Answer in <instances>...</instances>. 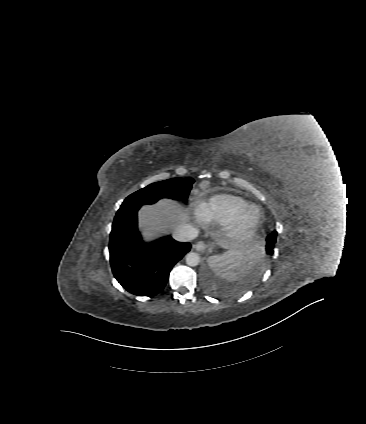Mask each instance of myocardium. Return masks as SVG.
I'll list each match as a JSON object with an SVG mask.
<instances>
[{"label": "myocardium", "instance_id": "f54148a6", "mask_svg": "<svg viewBox=\"0 0 366 424\" xmlns=\"http://www.w3.org/2000/svg\"><path fill=\"white\" fill-rule=\"evenodd\" d=\"M250 211H254L255 215L251 222L246 221V216ZM261 221V213L254 205H247L241 209L235 218L228 224L226 228V237L228 239H242L255 232Z\"/></svg>", "mask_w": 366, "mask_h": 424}]
</instances>
